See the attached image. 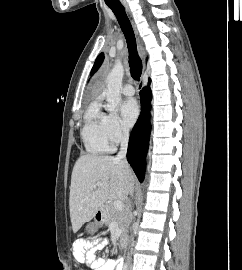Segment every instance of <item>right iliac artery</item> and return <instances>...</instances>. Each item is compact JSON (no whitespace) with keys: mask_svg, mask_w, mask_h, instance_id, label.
I'll use <instances>...</instances> for the list:
<instances>
[{"mask_svg":"<svg viewBox=\"0 0 242 270\" xmlns=\"http://www.w3.org/2000/svg\"><path fill=\"white\" fill-rule=\"evenodd\" d=\"M120 270H122V266H120ZM124 270H127L126 268H124Z\"/></svg>","mask_w":242,"mask_h":270,"instance_id":"right-iliac-artery-1","label":"right iliac artery"}]
</instances>
